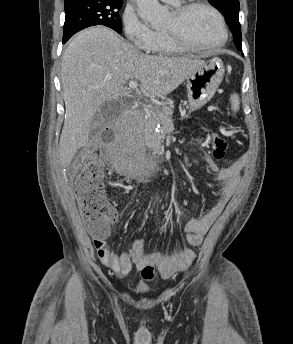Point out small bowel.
<instances>
[{"instance_id":"c3829d8e","label":"small bowel","mask_w":293,"mask_h":344,"mask_svg":"<svg viewBox=\"0 0 293 344\" xmlns=\"http://www.w3.org/2000/svg\"><path fill=\"white\" fill-rule=\"evenodd\" d=\"M206 164L215 174V181L221 184V193L215 205L205 215L190 219L186 223L185 231L192 246L201 243L202 237L235 193L239 186L240 172L244 167L243 158L228 166L219 167L209 156H206ZM93 244L100 261L118 277L126 276L133 268L141 270L146 266H157L161 273L168 277L176 271L187 269L195 257V252L191 248L183 249L178 257H170L158 251L147 253L143 239L136 240L128 252L121 254L113 252L105 238L94 239Z\"/></svg>"}]
</instances>
